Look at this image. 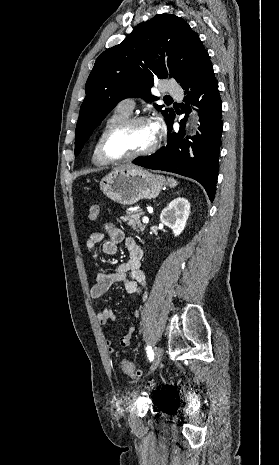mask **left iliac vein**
Here are the masks:
<instances>
[{
	"label": "left iliac vein",
	"mask_w": 279,
	"mask_h": 465,
	"mask_svg": "<svg viewBox=\"0 0 279 465\" xmlns=\"http://www.w3.org/2000/svg\"><path fill=\"white\" fill-rule=\"evenodd\" d=\"M162 357H163V351L161 349V347H156L155 350H154V362H153V366H152V371L156 370L157 367L159 366L161 360H162Z\"/></svg>",
	"instance_id": "1"
}]
</instances>
